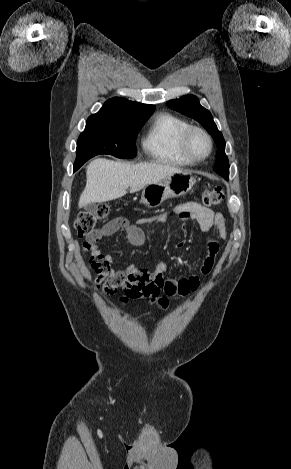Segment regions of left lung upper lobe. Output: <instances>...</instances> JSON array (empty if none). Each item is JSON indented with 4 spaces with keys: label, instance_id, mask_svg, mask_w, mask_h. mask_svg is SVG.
Returning <instances> with one entry per match:
<instances>
[{
    "label": "left lung upper lobe",
    "instance_id": "1",
    "mask_svg": "<svg viewBox=\"0 0 291 469\" xmlns=\"http://www.w3.org/2000/svg\"><path fill=\"white\" fill-rule=\"evenodd\" d=\"M167 105L170 108L197 120L213 137L218 148L214 171L225 179H228L229 161L225 154V140L213 121L211 113L200 105L199 99L194 95H187L179 99L170 100L167 102Z\"/></svg>",
    "mask_w": 291,
    "mask_h": 469
}]
</instances>
